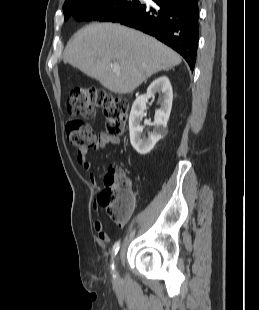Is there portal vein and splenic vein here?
Wrapping results in <instances>:
<instances>
[{"mask_svg":"<svg viewBox=\"0 0 259 310\" xmlns=\"http://www.w3.org/2000/svg\"><path fill=\"white\" fill-rule=\"evenodd\" d=\"M112 67H113L115 70H120V65H119V63H113V64H112Z\"/></svg>","mask_w":259,"mask_h":310,"instance_id":"obj_1","label":"portal vein and splenic vein"}]
</instances>
